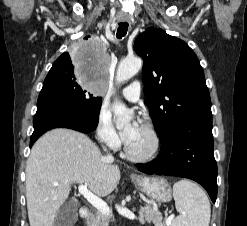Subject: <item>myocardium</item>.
<instances>
[{
  "label": "myocardium",
  "instance_id": "obj_1",
  "mask_svg": "<svg viewBox=\"0 0 247 226\" xmlns=\"http://www.w3.org/2000/svg\"><path fill=\"white\" fill-rule=\"evenodd\" d=\"M142 126L151 134L153 138L154 145L151 152L148 153L147 155L139 156V155H135L130 151L129 147L127 146V143H124L123 148H124V153L128 159L137 163H148L155 160L158 157L161 150L162 142L158 131L151 123L145 122L142 124Z\"/></svg>",
  "mask_w": 247,
  "mask_h": 226
}]
</instances>
